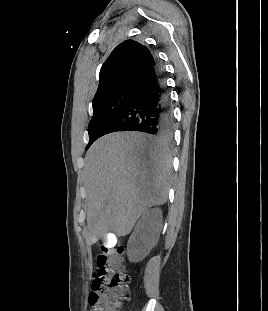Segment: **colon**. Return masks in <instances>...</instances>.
<instances>
[{
	"instance_id": "5ec220e1",
	"label": "colon",
	"mask_w": 268,
	"mask_h": 311,
	"mask_svg": "<svg viewBox=\"0 0 268 311\" xmlns=\"http://www.w3.org/2000/svg\"><path fill=\"white\" fill-rule=\"evenodd\" d=\"M121 247L101 245L96 258L98 277L92 282L91 311H116L129 296V276L125 270Z\"/></svg>"
}]
</instances>
